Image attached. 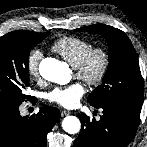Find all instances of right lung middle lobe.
<instances>
[{"mask_svg":"<svg viewBox=\"0 0 147 147\" xmlns=\"http://www.w3.org/2000/svg\"><path fill=\"white\" fill-rule=\"evenodd\" d=\"M49 32H10L0 37V104H21L29 86L30 51Z\"/></svg>","mask_w":147,"mask_h":147,"instance_id":"dd1d6c3e","label":"right lung middle lobe"}]
</instances>
